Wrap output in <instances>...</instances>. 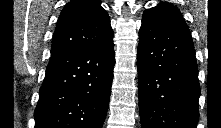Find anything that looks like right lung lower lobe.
<instances>
[{
    "instance_id": "1",
    "label": "right lung lower lobe",
    "mask_w": 221,
    "mask_h": 128,
    "mask_svg": "<svg viewBox=\"0 0 221 128\" xmlns=\"http://www.w3.org/2000/svg\"><path fill=\"white\" fill-rule=\"evenodd\" d=\"M114 44L51 55L35 128H102L110 101Z\"/></svg>"
}]
</instances>
